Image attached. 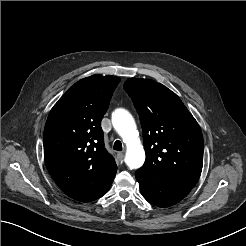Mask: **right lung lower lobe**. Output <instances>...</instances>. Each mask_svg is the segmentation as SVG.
<instances>
[{
  "instance_id": "obj_1",
  "label": "right lung lower lobe",
  "mask_w": 246,
  "mask_h": 246,
  "mask_svg": "<svg viewBox=\"0 0 246 246\" xmlns=\"http://www.w3.org/2000/svg\"><path fill=\"white\" fill-rule=\"evenodd\" d=\"M110 186L108 188L101 189V190L96 188H91L85 190L66 191L65 194L81 202H90L102 197L108 191Z\"/></svg>"
}]
</instances>
